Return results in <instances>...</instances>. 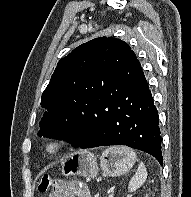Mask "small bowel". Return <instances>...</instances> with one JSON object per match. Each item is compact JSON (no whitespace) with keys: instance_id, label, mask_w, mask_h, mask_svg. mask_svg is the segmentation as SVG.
Here are the masks:
<instances>
[{"instance_id":"small-bowel-1","label":"small bowel","mask_w":191,"mask_h":197,"mask_svg":"<svg viewBox=\"0 0 191 197\" xmlns=\"http://www.w3.org/2000/svg\"><path fill=\"white\" fill-rule=\"evenodd\" d=\"M50 197H90L84 186L66 183L51 193Z\"/></svg>"}]
</instances>
